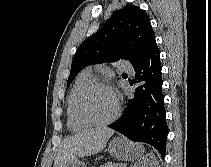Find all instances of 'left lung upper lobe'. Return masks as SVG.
I'll return each mask as SVG.
<instances>
[{
  "label": "left lung upper lobe",
  "instance_id": "1",
  "mask_svg": "<svg viewBox=\"0 0 211 167\" xmlns=\"http://www.w3.org/2000/svg\"><path fill=\"white\" fill-rule=\"evenodd\" d=\"M157 48L149 16L138 6L126 5L117 10L101 29L76 51L67 87L82 68L128 59L133 67L146 60Z\"/></svg>",
  "mask_w": 211,
  "mask_h": 167
}]
</instances>
